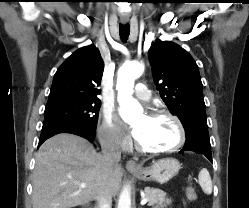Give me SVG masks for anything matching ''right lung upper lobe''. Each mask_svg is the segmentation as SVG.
<instances>
[{
    "instance_id": "obj_1",
    "label": "right lung upper lobe",
    "mask_w": 249,
    "mask_h": 208,
    "mask_svg": "<svg viewBox=\"0 0 249 208\" xmlns=\"http://www.w3.org/2000/svg\"><path fill=\"white\" fill-rule=\"evenodd\" d=\"M103 70L104 62L94 45L80 48L55 73L46 107L98 100Z\"/></svg>"
}]
</instances>
